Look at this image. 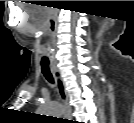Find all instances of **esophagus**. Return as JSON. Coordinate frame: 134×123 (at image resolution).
Here are the masks:
<instances>
[{"instance_id":"34e87169","label":"esophagus","mask_w":134,"mask_h":123,"mask_svg":"<svg viewBox=\"0 0 134 123\" xmlns=\"http://www.w3.org/2000/svg\"><path fill=\"white\" fill-rule=\"evenodd\" d=\"M50 69L53 74L54 80L56 82L59 98H60L61 102L63 103L65 110H66V112L64 113L62 118L68 120L70 118V105L68 103V95L65 90V86H64L63 80L61 78L60 71L53 65L50 66Z\"/></svg>"}]
</instances>
